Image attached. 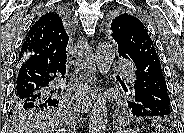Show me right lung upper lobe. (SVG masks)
<instances>
[{
    "label": "right lung upper lobe",
    "instance_id": "right-lung-upper-lobe-1",
    "mask_svg": "<svg viewBox=\"0 0 184 133\" xmlns=\"http://www.w3.org/2000/svg\"><path fill=\"white\" fill-rule=\"evenodd\" d=\"M70 37L69 25L60 10L46 12L33 23L28 31L17 65L27 57L41 56L48 61L66 59Z\"/></svg>",
    "mask_w": 184,
    "mask_h": 133
}]
</instances>
